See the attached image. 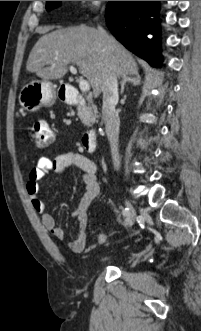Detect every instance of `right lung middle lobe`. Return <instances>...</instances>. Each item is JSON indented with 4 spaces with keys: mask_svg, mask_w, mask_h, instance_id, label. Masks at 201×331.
Segmentation results:
<instances>
[{
    "mask_svg": "<svg viewBox=\"0 0 201 331\" xmlns=\"http://www.w3.org/2000/svg\"><path fill=\"white\" fill-rule=\"evenodd\" d=\"M60 4H61V1H46V9H47V11H50Z\"/></svg>",
    "mask_w": 201,
    "mask_h": 331,
    "instance_id": "dd1d6c3e",
    "label": "right lung middle lobe"
}]
</instances>
